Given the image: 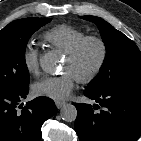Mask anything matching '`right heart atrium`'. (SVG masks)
<instances>
[{
    "label": "right heart atrium",
    "mask_w": 141,
    "mask_h": 141,
    "mask_svg": "<svg viewBox=\"0 0 141 141\" xmlns=\"http://www.w3.org/2000/svg\"><path fill=\"white\" fill-rule=\"evenodd\" d=\"M23 66L29 74L39 73V51L31 44L26 45L22 54Z\"/></svg>",
    "instance_id": "1"
}]
</instances>
